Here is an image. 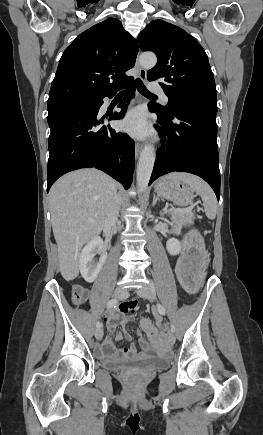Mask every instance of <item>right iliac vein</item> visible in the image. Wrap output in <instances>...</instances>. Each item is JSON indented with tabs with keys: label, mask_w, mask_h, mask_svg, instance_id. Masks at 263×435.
Returning a JSON list of instances; mask_svg holds the SVG:
<instances>
[{
	"label": "right iliac vein",
	"mask_w": 263,
	"mask_h": 435,
	"mask_svg": "<svg viewBox=\"0 0 263 435\" xmlns=\"http://www.w3.org/2000/svg\"><path fill=\"white\" fill-rule=\"evenodd\" d=\"M128 295V292L126 289L118 287L114 290L113 292V296L114 298H119V299H124L126 298ZM95 337L96 339L100 340L103 337V330L102 329H97L95 331Z\"/></svg>",
	"instance_id": "63e3f726"
}]
</instances>
